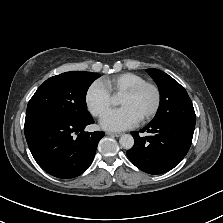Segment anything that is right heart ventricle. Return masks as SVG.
Returning a JSON list of instances; mask_svg holds the SVG:
<instances>
[{
  "mask_svg": "<svg viewBox=\"0 0 223 223\" xmlns=\"http://www.w3.org/2000/svg\"><path fill=\"white\" fill-rule=\"evenodd\" d=\"M145 81L144 78L135 73H122L112 77L105 78L103 83L108 91L116 96H121L124 92L133 88L137 84Z\"/></svg>",
  "mask_w": 223,
  "mask_h": 223,
  "instance_id": "obj_1",
  "label": "right heart ventricle"
}]
</instances>
